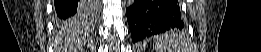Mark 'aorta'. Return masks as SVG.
Returning <instances> with one entry per match:
<instances>
[{"mask_svg": "<svg viewBox=\"0 0 261 52\" xmlns=\"http://www.w3.org/2000/svg\"><path fill=\"white\" fill-rule=\"evenodd\" d=\"M134 2H135V0H127V4H128L129 6L133 5Z\"/></svg>", "mask_w": 261, "mask_h": 52, "instance_id": "762f6f07", "label": "aorta"}]
</instances>
